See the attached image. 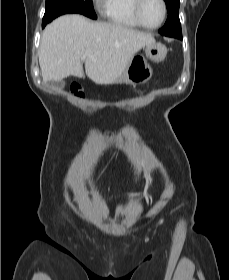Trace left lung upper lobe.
<instances>
[{"label":"left lung upper lobe","instance_id":"1","mask_svg":"<svg viewBox=\"0 0 229 280\" xmlns=\"http://www.w3.org/2000/svg\"><path fill=\"white\" fill-rule=\"evenodd\" d=\"M167 6L168 18L164 25L159 30V33L170 37H179L182 35L181 25L179 20V5L180 0H164Z\"/></svg>","mask_w":229,"mask_h":280}]
</instances>
